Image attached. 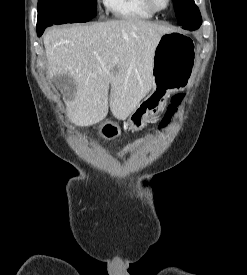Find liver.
Wrapping results in <instances>:
<instances>
[{"instance_id":"obj_1","label":"liver","mask_w":247,"mask_h":275,"mask_svg":"<svg viewBox=\"0 0 247 275\" xmlns=\"http://www.w3.org/2000/svg\"><path fill=\"white\" fill-rule=\"evenodd\" d=\"M169 32L137 18L48 31L43 42L49 77L67 74L75 83L73 92L62 91L69 119L91 126L110 106L115 118L125 120L152 89L154 50Z\"/></svg>"}]
</instances>
